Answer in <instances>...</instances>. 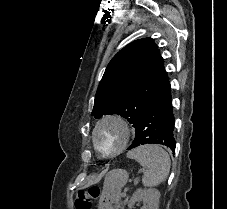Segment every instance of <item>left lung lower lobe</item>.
Returning <instances> with one entry per match:
<instances>
[{
  "label": "left lung lower lobe",
  "mask_w": 227,
  "mask_h": 209,
  "mask_svg": "<svg viewBox=\"0 0 227 209\" xmlns=\"http://www.w3.org/2000/svg\"><path fill=\"white\" fill-rule=\"evenodd\" d=\"M174 115L170 84L146 107L138 120L135 139L128 149L145 144H161L174 152Z\"/></svg>",
  "instance_id": "1"
}]
</instances>
